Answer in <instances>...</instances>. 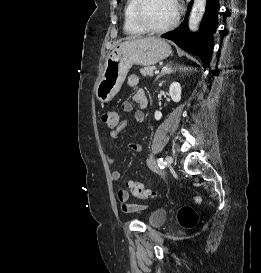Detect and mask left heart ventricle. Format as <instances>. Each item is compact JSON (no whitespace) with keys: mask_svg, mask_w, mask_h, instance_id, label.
Listing matches in <instances>:
<instances>
[{"mask_svg":"<svg viewBox=\"0 0 261 273\" xmlns=\"http://www.w3.org/2000/svg\"><path fill=\"white\" fill-rule=\"evenodd\" d=\"M173 0H146L140 11L142 21L151 27H163L175 17Z\"/></svg>","mask_w":261,"mask_h":273,"instance_id":"obj_1","label":"left heart ventricle"}]
</instances>
